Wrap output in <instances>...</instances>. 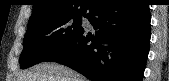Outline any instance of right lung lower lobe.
<instances>
[{
	"instance_id": "obj_1",
	"label": "right lung lower lobe",
	"mask_w": 169,
	"mask_h": 81,
	"mask_svg": "<svg viewBox=\"0 0 169 81\" xmlns=\"http://www.w3.org/2000/svg\"><path fill=\"white\" fill-rule=\"evenodd\" d=\"M84 29L45 61L57 62L91 81H142L149 52L150 10L141 0H98Z\"/></svg>"
}]
</instances>
